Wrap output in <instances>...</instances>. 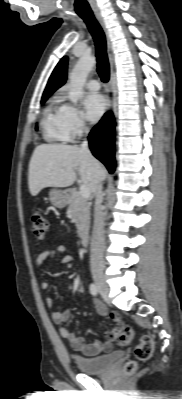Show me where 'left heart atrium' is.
<instances>
[{
  "label": "left heart atrium",
  "instance_id": "left-heart-atrium-1",
  "mask_svg": "<svg viewBox=\"0 0 182 399\" xmlns=\"http://www.w3.org/2000/svg\"><path fill=\"white\" fill-rule=\"evenodd\" d=\"M84 107L87 119L98 121L106 108L104 97L99 93H89L84 99Z\"/></svg>",
  "mask_w": 182,
  "mask_h": 399
}]
</instances>
